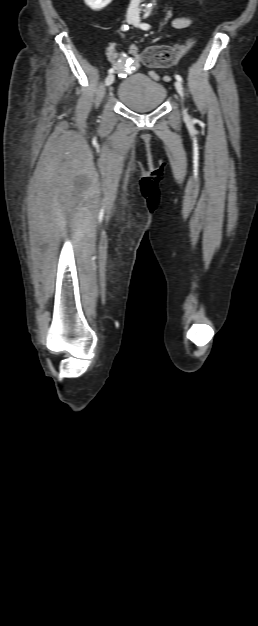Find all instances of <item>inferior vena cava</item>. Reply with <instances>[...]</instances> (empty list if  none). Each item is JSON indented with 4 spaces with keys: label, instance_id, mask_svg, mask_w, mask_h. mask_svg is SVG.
Returning <instances> with one entry per match:
<instances>
[{
    "label": "inferior vena cava",
    "instance_id": "1",
    "mask_svg": "<svg viewBox=\"0 0 258 626\" xmlns=\"http://www.w3.org/2000/svg\"><path fill=\"white\" fill-rule=\"evenodd\" d=\"M141 0H131L130 5L128 7L127 15L129 16H139V4Z\"/></svg>",
    "mask_w": 258,
    "mask_h": 626
}]
</instances>
